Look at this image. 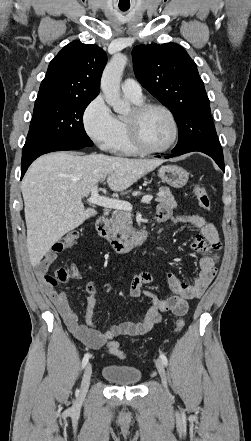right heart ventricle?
<instances>
[{"instance_id": "1", "label": "right heart ventricle", "mask_w": 251, "mask_h": 441, "mask_svg": "<svg viewBox=\"0 0 251 441\" xmlns=\"http://www.w3.org/2000/svg\"><path fill=\"white\" fill-rule=\"evenodd\" d=\"M127 97L135 105L143 103L142 98L137 99L129 96ZM116 120L118 125V133L113 143L111 144L110 150L118 154H125V155L137 154L139 150L132 144L130 140L126 125V118L123 116H118L116 117Z\"/></svg>"}]
</instances>
